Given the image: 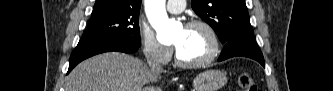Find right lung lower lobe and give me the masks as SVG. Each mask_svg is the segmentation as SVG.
<instances>
[{
  "label": "right lung lower lobe",
  "mask_w": 333,
  "mask_h": 91,
  "mask_svg": "<svg viewBox=\"0 0 333 91\" xmlns=\"http://www.w3.org/2000/svg\"><path fill=\"white\" fill-rule=\"evenodd\" d=\"M139 46H134L118 39H81L70 57L68 73L81 61L96 54L119 51L124 53H134Z\"/></svg>",
  "instance_id": "98d812e1"
}]
</instances>
